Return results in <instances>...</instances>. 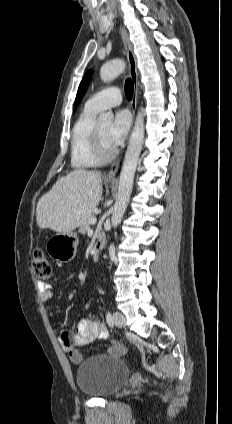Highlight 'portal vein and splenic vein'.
Wrapping results in <instances>:
<instances>
[{
  "mask_svg": "<svg viewBox=\"0 0 232 424\" xmlns=\"http://www.w3.org/2000/svg\"><path fill=\"white\" fill-rule=\"evenodd\" d=\"M97 222V219L95 217L90 219V224H95Z\"/></svg>",
  "mask_w": 232,
  "mask_h": 424,
  "instance_id": "1",
  "label": "portal vein and splenic vein"
}]
</instances>
